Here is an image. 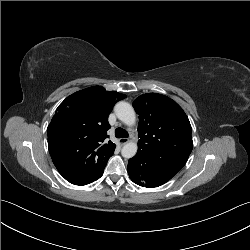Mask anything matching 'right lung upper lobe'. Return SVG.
Here are the masks:
<instances>
[{
	"instance_id": "1",
	"label": "right lung upper lobe",
	"mask_w": 250,
	"mask_h": 250,
	"mask_svg": "<svg viewBox=\"0 0 250 250\" xmlns=\"http://www.w3.org/2000/svg\"><path fill=\"white\" fill-rule=\"evenodd\" d=\"M126 95L94 86L68 96L47 128L48 147L59 173L70 183L99 179L116 145L106 141L108 115Z\"/></svg>"
}]
</instances>
